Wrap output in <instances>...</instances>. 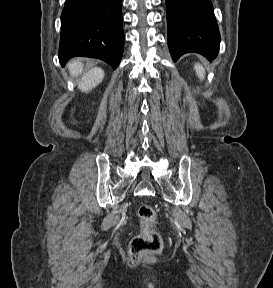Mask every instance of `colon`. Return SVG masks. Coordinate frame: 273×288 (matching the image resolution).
I'll use <instances>...</instances> for the list:
<instances>
[{
	"label": "colon",
	"mask_w": 273,
	"mask_h": 288,
	"mask_svg": "<svg viewBox=\"0 0 273 288\" xmlns=\"http://www.w3.org/2000/svg\"><path fill=\"white\" fill-rule=\"evenodd\" d=\"M140 220V233L130 242L129 263L136 264L140 258L146 255L159 253L163 248V241L156 231L157 216L154 208L143 204L138 208Z\"/></svg>",
	"instance_id": "1"
}]
</instances>
